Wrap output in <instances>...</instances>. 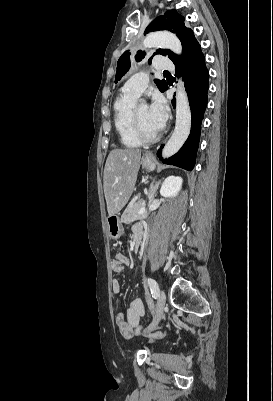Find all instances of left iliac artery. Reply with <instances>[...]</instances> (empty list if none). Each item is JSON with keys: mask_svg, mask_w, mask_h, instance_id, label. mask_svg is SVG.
Here are the masks:
<instances>
[{"mask_svg": "<svg viewBox=\"0 0 273 401\" xmlns=\"http://www.w3.org/2000/svg\"><path fill=\"white\" fill-rule=\"evenodd\" d=\"M147 282H148V284L150 286L152 295L157 297L158 294H159V287H158L157 282L152 278H148Z\"/></svg>", "mask_w": 273, "mask_h": 401, "instance_id": "left-iliac-artery-1", "label": "left iliac artery"}]
</instances>
